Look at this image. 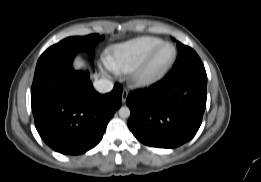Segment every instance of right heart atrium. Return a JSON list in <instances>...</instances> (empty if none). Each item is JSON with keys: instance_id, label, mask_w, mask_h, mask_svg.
Masks as SVG:
<instances>
[{"instance_id": "d8ad5b80", "label": "right heart atrium", "mask_w": 261, "mask_h": 182, "mask_svg": "<svg viewBox=\"0 0 261 182\" xmlns=\"http://www.w3.org/2000/svg\"><path fill=\"white\" fill-rule=\"evenodd\" d=\"M105 66L107 69L111 68L108 62H105Z\"/></svg>"}]
</instances>
